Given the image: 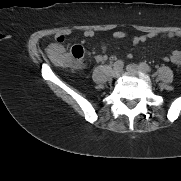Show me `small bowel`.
Wrapping results in <instances>:
<instances>
[{
  "mask_svg": "<svg viewBox=\"0 0 181 181\" xmlns=\"http://www.w3.org/2000/svg\"><path fill=\"white\" fill-rule=\"evenodd\" d=\"M65 35L66 33H61V34H58L57 37H56V40L60 37H64L65 38ZM85 36L88 37V38H92L94 37V32L92 31H87L85 32ZM169 38H173V37H181V34L180 33H169L167 35ZM114 37L117 38V39H122V38H125L127 37V33L126 32H123V31H116L114 33ZM152 37H154V34L152 33H149V34H146V35H137V36H133L132 37V43L137 45V44H140V43H145L146 41H148L149 39H151ZM58 42V41H57ZM58 43H62V42H58ZM102 50H103V54L101 55H98L96 57V60L97 61H105L109 58L113 59V56H108L106 53H105V50H106V47L105 45L103 44L102 45ZM165 59H168L170 60L172 63L176 64V65H181V51H178V50H175L171 53V55L169 56V58H165Z\"/></svg>",
  "mask_w": 181,
  "mask_h": 181,
  "instance_id": "1",
  "label": "small bowel"
}]
</instances>
